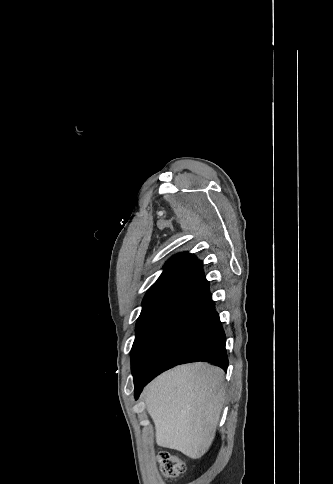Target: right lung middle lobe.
<instances>
[{
    "label": "right lung middle lobe",
    "mask_w": 333,
    "mask_h": 484,
    "mask_svg": "<svg viewBox=\"0 0 333 484\" xmlns=\"http://www.w3.org/2000/svg\"><path fill=\"white\" fill-rule=\"evenodd\" d=\"M157 304L158 303L144 304L142 308V312L137 320L136 338L133 343L132 354H131L132 372L134 371L135 367L137 366L140 360L141 349L145 339L147 327Z\"/></svg>",
    "instance_id": "right-lung-middle-lobe-1"
}]
</instances>
